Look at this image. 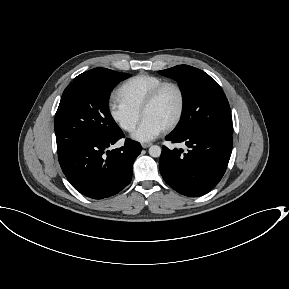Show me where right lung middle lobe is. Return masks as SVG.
<instances>
[{
  "instance_id": "right-lung-middle-lobe-1",
  "label": "right lung middle lobe",
  "mask_w": 289,
  "mask_h": 289,
  "mask_svg": "<svg viewBox=\"0 0 289 289\" xmlns=\"http://www.w3.org/2000/svg\"><path fill=\"white\" fill-rule=\"evenodd\" d=\"M129 76L115 71L101 77L77 76L64 90L54 120L58 155L120 129L109 112L108 98Z\"/></svg>"
}]
</instances>
